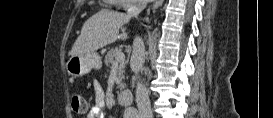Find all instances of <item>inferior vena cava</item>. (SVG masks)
I'll use <instances>...</instances> for the list:
<instances>
[{
    "label": "inferior vena cava",
    "mask_w": 273,
    "mask_h": 118,
    "mask_svg": "<svg viewBox=\"0 0 273 118\" xmlns=\"http://www.w3.org/2000/svg\"><path fill=\"white\" fill-rule=\"evenodd\" d=\"M144 3L139 1L136 6L128 9V16H138V14L144 8ZM145 57V46L143 40L140 37H136L133 42V51L131 56V66L135 70L136 74L142 69ZM136 103L140 113L141 118H151V106L149 95L146 87L139 81L136 88Z\"/></svg>",
    "instance_id": "602c4592"
}]
</instances>
